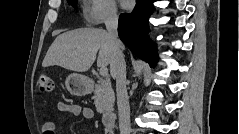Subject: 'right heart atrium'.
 Here are the masks:
<instances>
[{"mask_svg": "<svg viewBox=\"0 0 239 134\" xmlns=\"http://www.w3.org/2000/svg\"><path fill=\"white\" fill-rule=\"evenodd\" d=\"M83 16L91 25L113 21L117 19L116 3L113 0H88L83 6Z\"/></svg>", "mask_w": 239, "mask_h": 134, "instance_id": "d8ad5b80", "label": "right heart atrium"}]
</instances>
